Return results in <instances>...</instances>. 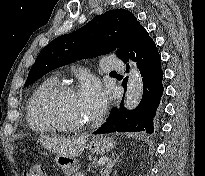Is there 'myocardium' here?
Segmentation results:
<instances>
[{"label": "myocardium", "mask_w": 205, "mask_h": 176, "mask_svg": "<svg viewBox=\"0 0 205 176\" xmlns=\"http://www.w3.org/2000/svg\"><path fill=\"white\" fill-rule=\"evenodd\" d=\"M66 93H75V87L67 83H57L45 91L37 101L35 113L39 121L58 131L76 132L90 125V120L82 124H67L61 122L50 110L53 101Z\"/></svg>", "instance_id": "obj_1"}]
</instances>
